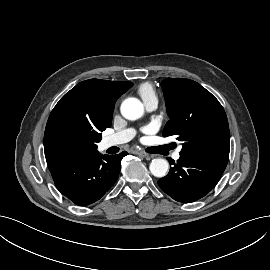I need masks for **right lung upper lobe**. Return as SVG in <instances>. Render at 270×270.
I'll list each match as a JSON object with an SVG mask.
<instances>
[{"mask_svg":"<svg viewBox=\"0 0 270 270\" xmlns=\"http://www.w3.org/2000/svg\"><path fill=\"white\" fill-rule=\"evenodd\" d=\"M132 86L131 82L89 79L67 92L50 113L44 134V152L48 164L61 155L53 145L56 131L65 125L91 130L100 134L111 126L115 101ZM97 151L90 150L83 156ZM77 157V156H70Z\"/></svg>","mask_w":270,"mask_h":270,"instance_id":"obj_1","label":"right lung upper lobe"}]
</instances>
